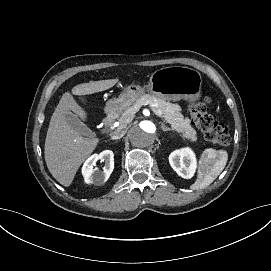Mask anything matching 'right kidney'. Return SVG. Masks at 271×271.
Masks as SVG:
<instances>
[{"instance_id": "1", "label": "right kidney", "mask_w": 271, "mask_h": 271, "mask_svg": "<svg viewBox=\"0 0 271 271\" xmlns=\"http://www.w3.org/2000/svg\"><path fill=\"white\" fill-rule=\"evenodd\" d=\"M104 160L105 166L103 171L94 169L97 160ZM114 169V154L111 150H104L100 154L90 156L82 167V175L87 184H94L96 186L103 185L110 177Z\"/></svg>"}]
</instances>
